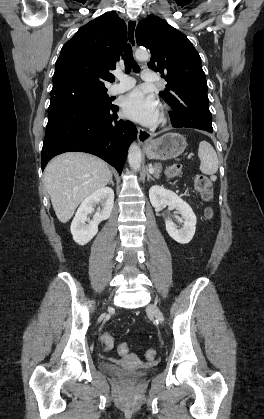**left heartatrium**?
I'll return each mask as SVG.
<instances>
[{
    "label": "left heart atrium",
    "mask_w": 264,
    "mask_h": 419,
    "mask_svg": "<svg viewBox=\"0 0 264 419\" xmlns=\"http://www.w3.org/2000/svg\"><path fill=\"white\" fill-rule=\"evenodd\" d=\"M122 110L126 117L145 125H153L159 119L156 99L142 88H136L124 97Z\"/></svg>",
    "instance_id": "obj_1"
}]
</instances>
